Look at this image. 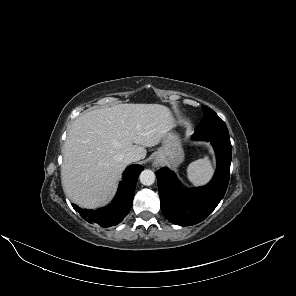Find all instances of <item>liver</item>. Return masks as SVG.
Here are the masks:
<instances>
[{
  "label": "liver",
  "instance_id": "obj_1",
  "mask_svg": "<svg viewBox=\"0 0 296 296\" xmlns=\"http://www.w3.org/2000/svg\"><path fill=\"white\" fill-rule=\"evenodd\" d=\"M160 104H118L80 115L68 130L63 149L62 186L80 207L96 208L112 196L126 167L123 156L146 157L175 127Z\"/></svg>",
  "mask_w": 296,
  "mask_h": 296
}]
</instances>
